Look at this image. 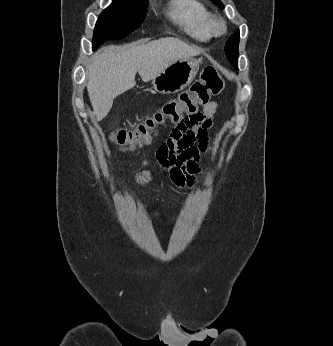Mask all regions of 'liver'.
Instances as JSON below:
<instances>
[{"label": "liver", "mask_w": 333, "mask_h": 346, "mask_svg": "<svg viewBox=\"0 0 333 346\" xmlns=\"http://www.w3.org/2000/svg\"><path fill=\"white\" fill-rule=\"evenodd\" d=\"M201 52L173 37L99 49L87 71V91L96 120L101 121L108 115L115 97L136 85L137 72L148 82L172 63Z\"/></svg>", "instance_id": "6515ba94"}]
</instances>
